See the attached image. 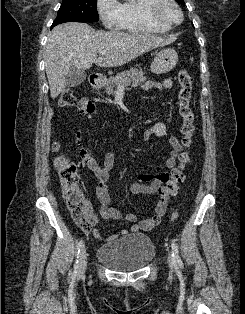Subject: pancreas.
Returning a JSON list of instances; mask_svg holds the SVG:
<instances>
[{"instance_id": "pancreas-1", "label": "pancreas", "mask_w": 245, "mask_h": 314, "mask_svg": "<svg viewBox=\"0 0 245 314\" xmlns=\"http://www.w3.org/2000/svg\"><path fill=\"white\" fill-rule=\"evenodd\" d=\"M147 77L141 68H131L128 71L117 73L115 77H110L106 83V93L108 95L114 94L115 89L126 87L130 84L133 86L140 85L146 81Z\"/></svg>"}]
</instances>
